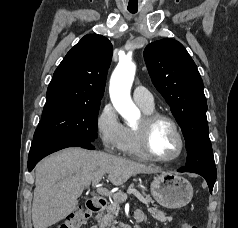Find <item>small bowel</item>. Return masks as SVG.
I'll use <instances>...</instances> for the list:
<instances>
[{
  "mask_svg": "<svg viewBox=\"0 0 238 228\" xmlns=\"http://www.w3.org/2000/svg\"><path fill=\"white\" fill-rule=\"evenodd\" d=\"M91 228H97L96 226H92Z\"/></svg>",
  "mask_w": 238,
  "mask_h": 228,
  "instance_id": "c3829d8e",
  "label": "small bowel"
}]
</instances>
